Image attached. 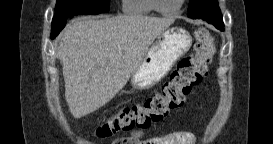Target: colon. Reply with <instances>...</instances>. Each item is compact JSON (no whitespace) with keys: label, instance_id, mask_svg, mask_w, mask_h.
<instances>
[{"label":"colon","instance_id":"obj_1","mask_svg":"<svg viewBox=\"0 0 273 144\" xmlns=\"http://www.w3.org/2000/svg\"><path fill=\"white\" fill-rule=\"evenodd\" d=\"M195 38V53L179 61L159 92L144 102L117 110L97 126L96 135L107 138L119 132L146 129L180 107L192 87L206 76L215 53L212 36L206 29H198Z\"/></svg>","mask_w":273,"mask_h":144}]
</instances>
